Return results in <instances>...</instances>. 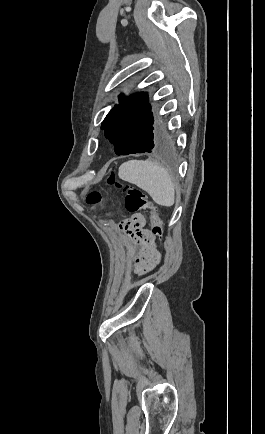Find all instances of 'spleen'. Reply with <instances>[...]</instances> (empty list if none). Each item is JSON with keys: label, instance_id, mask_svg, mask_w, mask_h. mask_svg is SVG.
Wrapping results in <instances>:
<instances>
[{"label": "spleen", "instance_id": "obj_1", "mask_svg": "<svg viewBox=\"0 0 265 434\" xmlns=\"http://www.w3.org/2000/svg\"><path fill=\"white\" fill-rule=\"evenodd\" d=\"M119 178L136 184L145 190L159 206H173L175 202V186L165 168L156 162L130 160L119 168Z\"/></svg>", "mask_w": 265, "mask_h": 434}]
</instances>
